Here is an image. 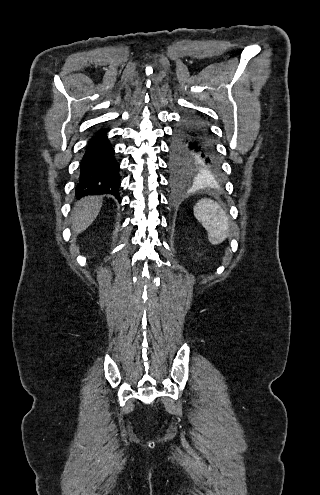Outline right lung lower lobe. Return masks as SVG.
Listing matches in <instances>:
<instances>
[{
	"label": "right lung lower lobe",
	"instance_id": "98d812e1",
	"mask_svg": "<svg viewBox=\"0 0 320 495\" xmlns=\"http://www.w3.org/2000/svg\"><path fill=\"white\" fill-rule=\"evenodd\" d=\"M114 154L106 131L103 129L96 131L84 148L80 177L76 186L77 198L111 194L120 201L119 163L115 160Z\"/></svg>",
	"mask_w": 320,
	"mask_h": 495
}]
</instances>
